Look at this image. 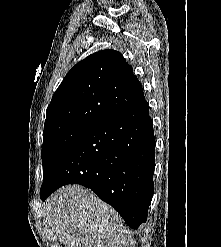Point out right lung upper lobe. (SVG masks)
I'll return each instance as SVG.
<instances>
[{"mask_svg":"<svg viewBox=\"0 0 221 247\" xmlns=\"http://www.w3.org/2000/svg\"><path fill=\"white\" fill-rule=\"evenodd\" d=\"M143 100L142 86L121 53L99 51L67 73L47 108L44 130L68 124L93 127Z\"/></svg>","mask_w":221,"mask_h":247,"instance_id":"right-lung-upper-lobe-1","label":"right lung upper lobe"}]
</instances>
